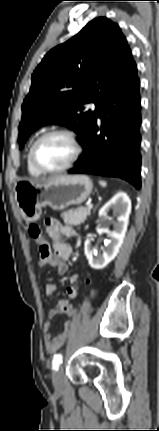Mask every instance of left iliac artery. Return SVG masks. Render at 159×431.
Wrapping results in <instances>:
<instances>
[{
	"mask_svg": "<svg viewBox=\"0 0 159 431\" xmlns=\"http://www.w3.org/2000/svg\"><path fill=\"white\" fill-rule=\"evenodd\" d=\"M60 363H62V355L61 354H57V355L54 356V359H53V363H52L53 369L57 370L58 367H59V365H60Z\"/></svg>",
	"mask_w": 159,
	"mask_h": 431,
	"instance_id": "44dca946",
	"label": "left iliac artery"
}]
</instances>
